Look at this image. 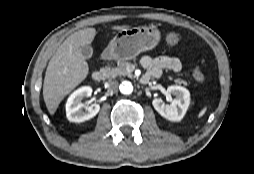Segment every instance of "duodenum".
I'll return each mask as SVG.
<instances>
[{
  "instance_id": "duodenum-1",
  "label": "duodenum",
  "mask_w": 254,
  "mask_h": 174,
  "mask_svg": "<svg viewBox=\"0 0 254 174\" xmlns=\"http://www.w3.org/2000/svg\"><path fill=\"white\" fill-rule=\"evenodd\" d=\"M104 78H105V73L102 71L97 70L92 73V79L95 82H101L104 80ZM150 79H151L150 77H147V78L142 79L141 81H142V83L147 84L150 81Z\"/></svg>"
}]
</instances>
